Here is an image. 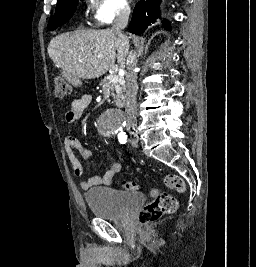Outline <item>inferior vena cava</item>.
<instances>
[{
    "label": "inferior vena cava",
    "instance_id": "1",
    "mask_svg": "<svg viewBox=\"0 0 256 267\" xmlns=\"http://www.w3.org/2000/svg\"><path fill=\"white\" fill-rule=\"evenodd\" d=\"M130 16L129 6H120L119 12L116 14V18L112 24V32H116L119 38H123L126 42H129L127 36L122 34V30L126 28L128 24V18ZM129 62L127 64V72L125 74V84H126V98H125V112L127 116V126L128 128H134L136 126V96H137V72H135L137 60L130 52Z\"/></svg>",
    "mask_w": 256,
    "mask_h": 267
}]
</instances>
